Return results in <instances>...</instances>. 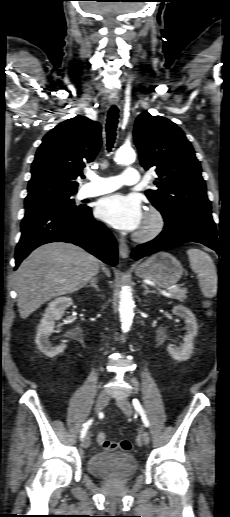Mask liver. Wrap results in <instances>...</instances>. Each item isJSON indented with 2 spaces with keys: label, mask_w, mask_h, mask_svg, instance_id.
<instances>
[{
  "label": "liver",
  "mask_w": 230,
  "mask_h": 517,
  "mask_svg": "<svg viewBox=\"0 0 230 517\" xmlns=\"http://www.w3.org/2000/svg\"><path fill=\"white\" fill-rule=\"evenodd\" d=\"M100 267L110 275L99 259L73 244L54 242L36 248L15 273L20 317L26 319L52 298L79 290Z\"/></svg>",
  "instance_id": "obj_1"
}]
</instances>
